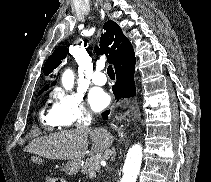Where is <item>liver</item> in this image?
Returning a JSON list of instances; mask_svg holds the SVG:
<instances>
[{"instance_id": "obj_1", "label": "liver", "mask_w": 211, "mask_h": 182, "mask_svg": "<svg viewBox=\"0 0 211 182\" xmlns=\"http://www.w3.org/2000/svg\"><path fill=\"white\" fill-rule=\"evenodd\" d=\"M89 137L92 141L90 151ZM113 136L105 129H74L32 140L26 151L48 159L81 160L87 153L95 155L108 149Z\"/></svg>"}]
</instances>
